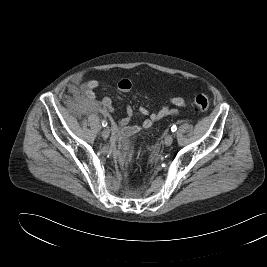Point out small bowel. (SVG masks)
<instances>
[{
    "instance_id": "obj_1",
    "label": "small bowel",
    "mask_w": 267,
    "mask_h": 267,
    "mask_svg": "<svg viewBox=\"0 0 267 267\" xmlns=\"http://www.w3.org/2000/svg\"><path fill=\"white\" fill-rule=\"evenodd\" d=\"M81 84V79L76 77L73 83L68 86V92L72 95H80L79 85ZM98 86L97 80H89L82 85L84 90L83 98L87 106L93 111H99L104 116L108 117L112 122V128L116 135L121 138H125L136 134L141 129L150 128L155 122L162 120L163 118L170 115H178L179 111L177 109L171 108V105L186 108L187 101L183 97L175 96L168 99V101L158 110L150 111L147 108L140 107L137 113L145 116L146 119L141 123V125L130 126L129 123L135 114L132 107H127L125 110L126 116L120 119L115 117L114 107L112 105V100L109 96L103 97L100 102L95 101V89ZM132 87L131 81L128 79H122L118 83V89L122 92L130 91Z\"/></svg>"
}]
</instances>
